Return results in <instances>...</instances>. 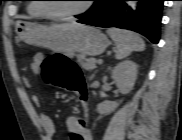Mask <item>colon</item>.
Instances as JSON below:
<instances>
[{"mask_svg": "<svg viewBox=\"0 0 182 140\" xmlns=\"http://www.w3.org/2000/svg\"><path fill=\"white\" fill-rule=\"evenodd\" d=\"M41 71L48 82L66 89L76 96L83 112V117L78 119L79 125L81 128H86L88 89L79 66L66 57H52L43 62ZM71 140H83L82 133H73Z\"/></svg>", "mask_w": 182, "mask_h": 140, "instance_id": "5ec220e1", "label": "colon"}]
</instances>
